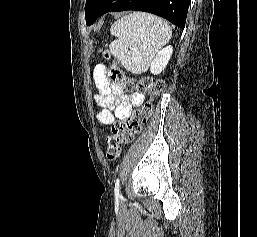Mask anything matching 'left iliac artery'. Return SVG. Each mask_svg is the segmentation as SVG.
<instances>
[{"label":"left iliac artery","mask_w":257,"mask_h":237,"mask_svg":"<svg viewBox=\"0 0 257 237\" xmlns=\"http://www.w3.org/2000/svg\"><path fill=\"white\" fill-rule=\"evenodd\" d=\"M114 191H115V196L122 197L121 194H120V180H119V178L116 180Z\"/></svg>","instance_id":"44dca946"}]
</instances>
